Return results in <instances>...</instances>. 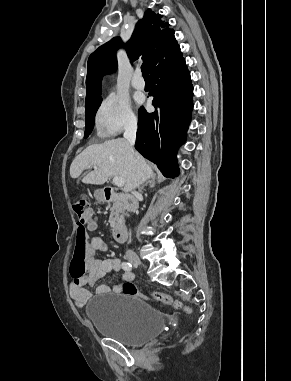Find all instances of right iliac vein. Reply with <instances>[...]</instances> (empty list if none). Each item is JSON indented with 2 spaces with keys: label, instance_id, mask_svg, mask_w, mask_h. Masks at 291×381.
Masks as SVG:
<instances>
[{
  "label": "right iliac vein",
  "instance_id": "obj_1",
  "mask_svg": "<svg viewBox=\"0 0 291 381\" xmlns=\"http://www.w3.org/2000/svg\"><path fill=\"white\" fill-rule=\"evenodd\" d=\"M127 259H128L132 264H134L135 266H140V265H142L141 260L139 259V257H138L136 254H129V255H127Z\"/></svg>",
  "mask_w": 291,
  "mask_h": 381
}]
</instances>
